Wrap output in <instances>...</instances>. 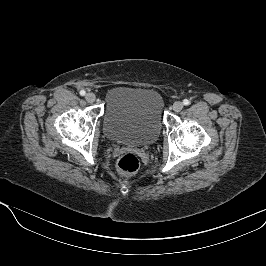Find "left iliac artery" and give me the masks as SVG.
<instances>
[{
  "label": "left iliac artery",
  "instance_id": "44dca946",
  "mask_svg": "<svg viewBox=\"0 0 266 266\" xmlns=\"http://www.w3.org/2000/svg\"><path fill=\"white\" fill-rule=\"evenodd\" d=\"M183 104L187 106V105H189V104H190V102H189V100H188V99H184V100H183Z\"/></svg>",
  "mask_w": 266,
  "mask_h": 266
}]
</instances>
